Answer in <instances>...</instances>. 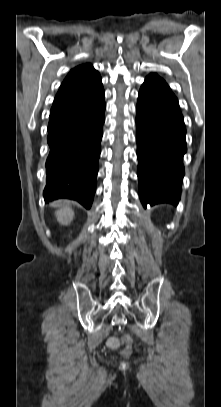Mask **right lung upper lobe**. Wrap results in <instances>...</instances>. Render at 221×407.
<instances>
[{
	"label": "right lung upper lobe",
	"mask_w": 221,
	"mask_h": 407,
	"mask_svg": "<svg viewBox=\"0 0 221 407\" xmlns=\"http://www.w3.org/2000/svg\"><path fill=\"white\" fill-rule=\"evenodd\" d=\"M100 87L101 77L91 64L77 66L62 82L53 105L89 94Z\"/></svg>",
	"instance_id": "cb5924a9"
}]
</instances>
